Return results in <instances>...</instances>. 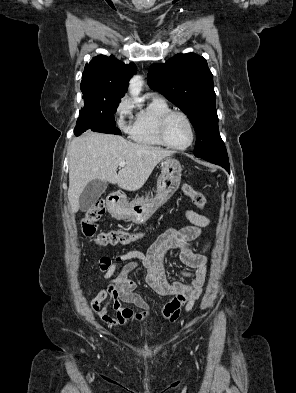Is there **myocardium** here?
Returning <instances> with one entry per match:
<instances>
[{
  "instance_id": "1",
  "label": "myocardium",
  "mask_w": 296,
  "mask_h": 393,
  "mask_svg": "<svg viewBox=\"0 0 296 393\" xmlns=\"http://www.w3.org/2000/svg\"><path fill=\"white\" fill-rule=\"evenodd\" d=\"M174 116H180V117H182V118L187 122V124H188V126H189V129H190V140H189V142H188L186 145H184V146H175V145H172V144L168 141V139H167V136H166L167 125H168V122L170 121V119H171L172 117H174ZM195 136H196V135H195V128H194V125H193V123H192L190 117H189L186 113H184V112H182V111L170 110V111H168L167 113H165V114L161 117V119H160V121H159V124H158V137H159L161 143H162L164 146H166L167 148H169V149L176 150V151L187 150L188 148H190V147L193 145V143H194V141H195Z\"/></svg>"
}]
</instances>
